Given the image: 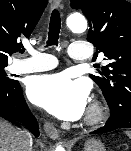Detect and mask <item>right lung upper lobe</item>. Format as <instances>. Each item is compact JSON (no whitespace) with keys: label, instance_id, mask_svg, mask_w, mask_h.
I'll return each instance as SVG.
<instances>
[{"label":"right lung upper lobe","instance_id":"1","mask_svg":"<svg viewBox=\"0 0 131 151\" xmlns=\"http://www.w3.org/2000/svg\"><path fill=\"white\" fill-rule=\"evenodd\" d=\"M48 0H0V63L20 49V37H29Z\"/></svg>","mask_w":131,"mask_h":151}]
</instances>
